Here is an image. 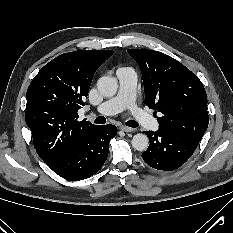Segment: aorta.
I'll return each instance as SVG.
<instances>
[{"label":"aorta","instance_id":"aorta-1","mask_svg":"<svg viewBox=\"0 0 233 233\" xmlns=\"http://www.w3.org/2000/svg\"><path fill=\"white\" fill-rule=\"evenodd\" d=\"M97 88L103 96L112 97L117 92L118 82L114 77L103 76L97 81ZM131 143L134 149L144 151L149 145V139L145 134L138 133L133 136Z\"/></svg>","mask_w":233,"mask_h":233}]
</instances>
